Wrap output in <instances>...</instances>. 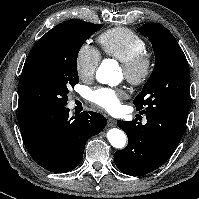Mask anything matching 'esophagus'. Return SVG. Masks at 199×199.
Wrapping results in <instances>:
<instances>
[{
    "instance_id": "esophagus-1",
    "label": "esophagus",
    "mask_w": 199,
    "mask_h": 199,
    "mask_svg": "<svg viewBox=\"0 0 199 199\" xmlns=\"http://www.w3.org/2000/svg\"><path fill=\"white\" fill-rule=\"evenodd\" d=\"M107 125H108L109 127H114V126H116V121H115L114 119H112V118H109V119L107 120Z\"/></svg>"
}]
</instances>
